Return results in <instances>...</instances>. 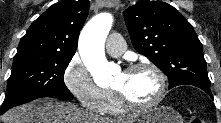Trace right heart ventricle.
Here are the masks:
<instances>
[{
    "label": "right heart ventricle",
    "mask_w": 221,
    "mask_h": 123,
    "mask_svg": "<svg viewBox=\"0 0 221 123\" xmlns=\"http://www.w3.org/2000/svg\"><path fill=\"white\" fill-rule=\"evenodd\" d=\"M108 99H107V103L104 109V113L110 114V115H114V116H118L121 115L125 112L124 108L121 106V104L119 103L118 99L116 98V96L114 95L113 92L108 91Z\"/></svg>",
    "instance_id": "1"
}]
</instances>
